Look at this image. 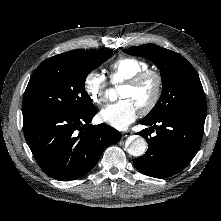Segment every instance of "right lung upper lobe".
Instances as JSON below:
<instances>
[{"instance_id": "1", "label": "right lung upper lobe", "mask_w": 221, "mask_h": 221, "mask_svg": "<svg viewBox=\"0 0 221 221\" xmlns=\"http://www.w3.org/2000/svg\"><path fill=\"white\" fill-rule=\"evenodd\" d=\"M87 51H89V50H73V51H69V52L63 53L61 55H64V56H76V55L84 54Z\"/></svg>"}]
</instances>
